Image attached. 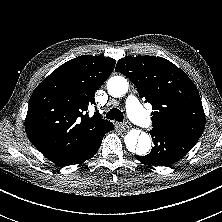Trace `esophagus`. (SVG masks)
<instances>
[{
  "mask_svg": "<svg viewBox=\"0 0 222 222\" xmlns=\"http://www.w3.org/2000/svg\"><path fill=\"white\" fill-rule=\"evenodd\" d=\"M116 126L122 130H126L130 127V124L128 122H125V123H119Z\"/></svg>",
  "mask_w": 222,
  "mask_h": 222,
  "instance_id": "obj_1",
  "label": "esophagus"
}]
</instances>
